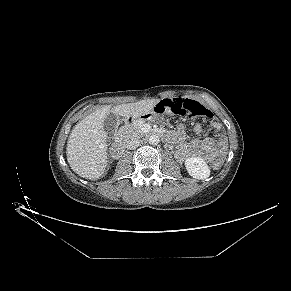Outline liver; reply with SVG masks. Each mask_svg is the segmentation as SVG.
<instances>
[{
  "label": "liver",
  "mask_w": 291,
  "mask_h": 291,
  "mask_svg": "<svg viewBox=\"0 0 291 291\" xmlns=\"http://www.w3.org/2000/svg\"><path fill=\"white\" fill-rule=\"evenodd\" d=\"M159 99H147L134 103L106 105L81 120L72 130L67 142V161L79 176L96 180L107 165V133L103 129L104 118L109 112L126 118H138L150 112Z\"/></svg>",
  "instance_id": "obj_1"
}]
</instances>
